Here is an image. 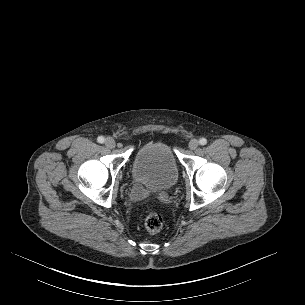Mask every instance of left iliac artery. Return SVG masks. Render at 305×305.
Returning a JSON list of instances; mask_svg holds the SVG:
<instances>
[{
	"label": "left iliac artery",
	"instance_id": "left-iliac-artery-1",
	"mask_svg": "<svg viewBox=\"0 0 305 305\" xmlns=\"http://www.w3.org/2000/svg\"><path fill=\"white\" fill-rule=\"evenodd\" d=\"M199 143H200L201 145H205V144L207 143V139H206V138H201V139L199 140Z\"/></svg>",
	"mask_w": 305,
	"mask_h": 305
}]
</instances>
